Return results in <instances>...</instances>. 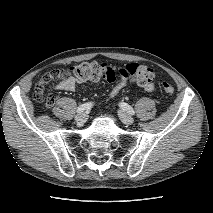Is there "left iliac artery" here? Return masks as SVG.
Wrapping results in <instances>:
<instances>
[{"mask_svg":"<svg viewBox=\"0 0 213 213\" xmlns=\"http://www.w3.org/2000/svg\"><path fill=\"white\" fill-rule=\"evenodd\" d=\"M120 107H121L123 110L127 111V112H128L129 114H131V115H134V114H135L134 109H133L130 105H128L127 103H120Z\"/></svg>","mask_w":213,"mask_h":213,"instance_id":"obj_1","label":"left iliac artery"}]
</instances>
